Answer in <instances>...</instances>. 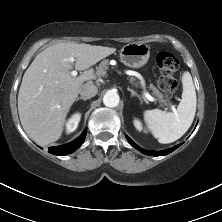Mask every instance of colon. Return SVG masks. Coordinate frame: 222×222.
I'll return each mask as SVG.
<instances>
[{
	"label": "colon",
	"instance_id": "1",
	"mask_svg": "<svg viewBox=\"0 0 222 222\" xmlns=\"http://www.w3.org/2000/svg\"><path fill=\"white\" fill-rule=\"evenodd\" d=\"M156 65L159 71V89L166 96L173 95L178 87L174 74L179 69V61L171 53L160 52L156 56Z\"/></svg>",
	"mask_w": 222,
	"mask_h": 222
}]
</instances>
